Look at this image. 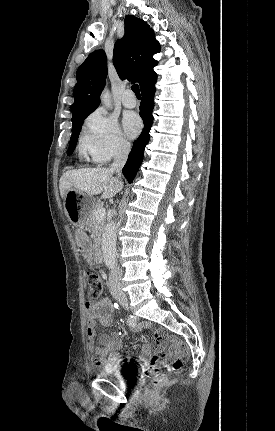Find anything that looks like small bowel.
I'll return each instance as SVG.
<instances>
[{"mask_svg":"<svg viewBox=\"0 0 275 431\" xmlns=\"http://www.w3.org/2000/svg\"><path fill=\"white\" fill-rule=\"evenodd\" d=\"M76 242L80 252L84 255L90 253V242L88 237L82 233H76ZM86 310V338L87 346L90 352L93 354L94 361L97 365H106L120 361V349L122 343L117 334H102L99 338V345L96 344L95 340L97 337V325L109 326L112 323L114 306L111 300L107 297L102 298L99 301H90L85 305ZM139 330H150L151 325L149 322H142L136 326ZM154 334L158 340V347H163V338L158 331H154ZM171 350L168 354L163 355L159 358L153 355L151 358L152 362H157L162 366H168L171 360L179 354V348L176 344H170ZM152 355V349L150 345H145L140 355V360L147 363L149 357Z\"/></svg>","mask_w":275,"mask_h":431,"instance_id":"small-bowel-1","label":"small bowel"}]
</instances>
